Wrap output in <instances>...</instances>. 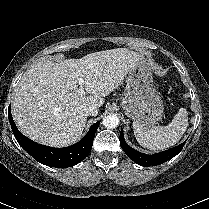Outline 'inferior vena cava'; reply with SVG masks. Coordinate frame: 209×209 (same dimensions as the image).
I'll use <instances>...</instances> for the list:
<instances>
[{"instance_id": "1", "label": "inferior vena cava", "mask_w": 209, "mask_h": 209, "mask_svg": "<svg viewBox=\"0 0 209 209\" xmlns=\"http://www.w3.org/2000/svg\"><path fill=\"white\" fill-rule=\"evenodd\" d=\"M84 114L86 116H96L98 114V108L95 106H87L84 108Z\"/></svg>"}]
</instances>
